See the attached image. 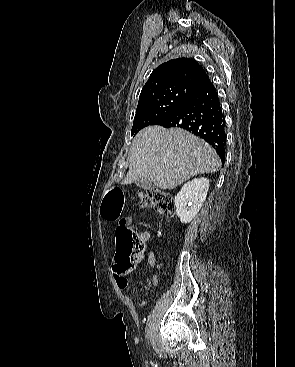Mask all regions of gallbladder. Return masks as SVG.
<instances>
[{
	"mask_svg": "<svg viewBox=\"0 0 295 367\" xmlns=\"http://www.w3.org/2000/svg\"><path fill=\"white\" fill-rule=\"evenodd\" d=\"M135 183L139 188L146 189V190H149L153 185L152 182H150V181H148L144 178L138 179Z\"/></svg>",
	"mask_w": 295,
	"mask_h": 367,
	"instance_id": "bac80fb5",
	"label": "gallbladder"
}]
</instances>
